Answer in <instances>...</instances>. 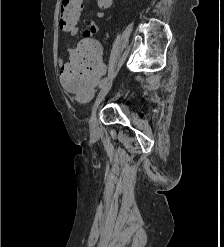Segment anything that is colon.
Segmentation results:
<instances>
[{
    "label": "colon",
    "mask_w": 224,
    "mask_h": 247,
    "mask_svg": "<svg viewBox=\"0 0 224 247\" xmlns=\"http://www.w3.org/2000/svg\"><path fill=\"white\" fill-rule=\"evenodd\" d=\"M103 8H108L112 0H99ZM82 0H62L59 10L60 29L67 32L77 26ZM106 72L102 61L101 48L94 39L82 41L73 57L61 68L63 86L78 93L79 99L86 102L96 85Z\"/></svg>",
    "instance_id": "1"
}]
</instances>
